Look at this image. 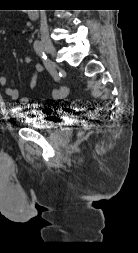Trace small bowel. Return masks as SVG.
Wrapping results in <instances>:
<instances>
[{"instance_id":"small-bowel-1","label":"small bowel","mask_w":138,"mask_h":253,"mask_svg":"<svg viewBox=\"0 0 138 253\" xmlns=\"http://www.w3.org/2000/svg\"><path fill=\"white\" fill-rule=\"evenodd\" d=\"M24 62L26 64L32 63V57L30 55L24 56ZM44 71V66L42 64H36L33 70L32 75L29 78V87L34 89L37 87L38 83V76ZM0 85H2L5 88V93L8 97H10L13 100L19 99V91L16 88H13L11 86H8L7 79L2 72V69L0 68ZM21 104L22 105H28L29 99L28 97L21 98Z\"/></svg>"}]
</instances>
